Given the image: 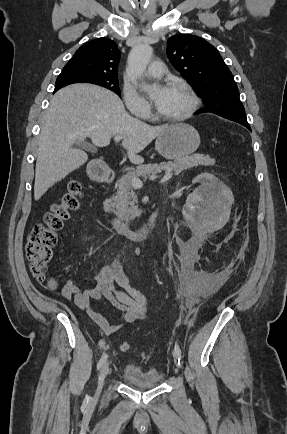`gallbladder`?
Returning a JSON list of instances; mask_svg holds the SVG:
<instances>
[{
	"label": "gallbladder",
	"instance_id": "1",
	"mask_svg": "<svg viewBox=\"0 0 287 434\" xmlns=\"http://www.w3.org/2000/svg\"><path fill=\"white\" fill-rule=\"evenodd\" d=\"M76 146L79 147V148H81V149L94 150V149L92 148V146H90L89 144H87V143H85V142H83V141H77V142H76Z\"/></svg>",
	"mask_w": 287,
	"mask_h": 434
}]
</instances>
